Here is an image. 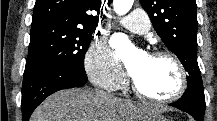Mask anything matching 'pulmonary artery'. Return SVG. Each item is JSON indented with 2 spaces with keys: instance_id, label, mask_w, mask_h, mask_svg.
I'll return each instance as SVG.
<instances>
[{
  "instance_id": "obj_1",
  "label": "pulmonary artery",
  "mask_w": 217,
  "mask_h": 121,
  "mask_svg": "<svg viewBox=\"0 0 217 121\" xmlns=\"http://www.w3.org/2000/svg\"><path fill=\"white\" fill-rule=\"evenodd\" d=\"M120 24L132 32L143 34L151 29L147 14L140 9L133 10L129 15L119 20Z\"/></svg>"
}]
</instances>
